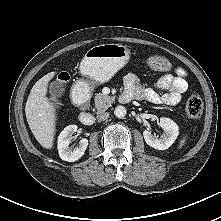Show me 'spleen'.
I'll list each match as a JSON object with an SVG mask.
<instances>
[{
    "label": "spleen",
    "instance_id": "1",
    "mask_svg": "<svg viewBox=\"0 0 221 221\" xmlns=\"http://www.w3.org/2000/svg\"><path fill=\"white\" fill-rule=\"evenodd\" d=\"M185 142H186V138L184 137L179 143V148H181L185 144Z\"/></svg>",
    "mask_w": 221,
    "mask_h": 221
}]
</instances>
